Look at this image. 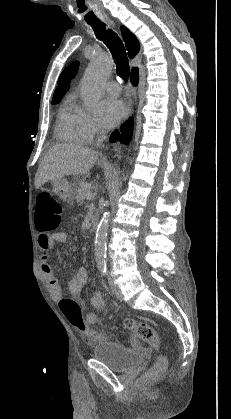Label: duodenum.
<instances>
[{
    "mask_svg": "<svg viewBox=\"0 0 231 419\" xmlns=\"http://www.w3.org/2000/svg\"><path fill=\"white\" fill-rule=\"evenodd\" d=\"M90 225L93 230H96L99 225V215L94 214L90 218Z\"/></svg>",
    "mask_w": 231,
    "mask_h": 419,
    "instance_id": "obj_1",
    "label": "duodenum"
}]
</instances>
